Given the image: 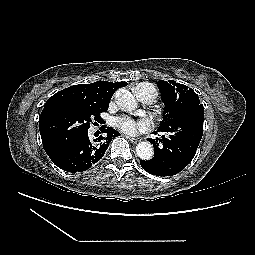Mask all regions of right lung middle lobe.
I'll list each match as a JSON object with an SVG mask.
<instances>
[{
    "label": "right lung middle lobe",
    "mask_w": 255,
    "mask_h": 255,
    "mask_svg": "<svg viewBox=\"0 0 255 255\" xmlns=\"http://www.w3.org/2000/svg\"><path fill=\"white\" fill-rule=\"evenodd\" d=\"M108 106H54L42 111L39 129L51 140L60 144L67 143L88 131L92 120L103 121L101 112Z\"/></svg>",
    "instance_id": "dd1d6c3e"
}]
</instances>
